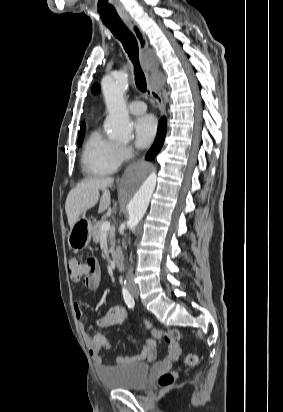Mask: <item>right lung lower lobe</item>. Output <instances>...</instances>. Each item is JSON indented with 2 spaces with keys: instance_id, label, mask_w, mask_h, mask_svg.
Instances as JSON below:
<instances>
[{
  "instance_id": "98d812e1",
  "label": "right lung lower lobe",
  "mask_w": 283,
  "mask_h": 412,
  "mask_svg": "<svg viewBox=\"0 0 283 412\" xmlns=\"http://www.w3.org/2000/svg\"><path fill=\"white\" fill-rule=\"evenodd\" d=\"M166 131H167V121H166V118L163 117L159 122V129H158L156 140L145 156L146 160H153L156 157V155L158 154V152L160 151L163 145Z\"/></svg>"
}]
</instances>
